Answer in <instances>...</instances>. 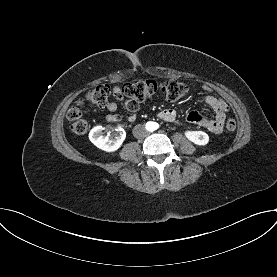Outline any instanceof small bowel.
I'll return each mask as SVG.
<instances>
[{
    "label": "small bowel",
    "instance_id": "c3829d8e",
    "mask_svg": "<svg viewBox=\"0 0 277 277\" xmlns=\"http://www.w3.org/2000/svg\"><path fill=\"white\" fill-rule=\"evenodd\" d=\"M203 90L207 93L205 96V103L212 108L215 117L213 119L208 118L198 112H190L185 118V122L191 125L200 126L205 128L213 134H220L223 131L226 112L228 111V105L222 99L217 98L213 95V90L211 87L204 85ZM113 95L118 100H124V95L121 92L119 86L113 87ZM125 106L132 114L127 118L128 121H134L136 116L135 113L139 110V104L134 103L131 100H124ZM107 110L110 112L106 115V120L109 122H120L123 117L116 114L118 108L115 102H109L106 106ZM159 118L170 123H180L177 119V114L172 109H165L159 113Z\"/></svg>",
    "mask_w": 277,
    "mask_h": 277
}]
</instances>
